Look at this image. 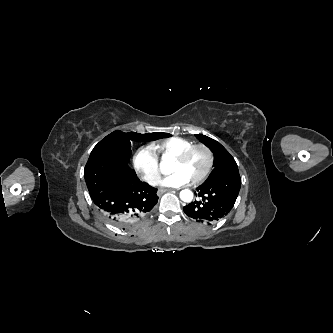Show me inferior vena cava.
<instances>
[{
	"label": "inferior vena cava",
	"mask_w": 333,
	"mask_h": 333,
	"mask_svg": "<svg viewBox=\"0 0 333 333\" xmlns=\"http://www.w3.org/2000/svg\"><path fill=\"white\" fill-rule=\"evenodd\" d=\"M150 182L152 185H157L160 182V176L159 175H151Z\"/></svg>",
	"instance_id": "602c4592"
}]
</instances>
